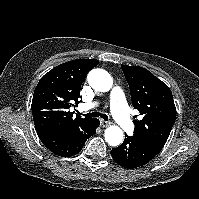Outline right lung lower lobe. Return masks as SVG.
I'll use <instances>...</instances> for the list:
<instances>
[{
	"mask_svg": "<svg viewBox=\"0 0 199 199\" xmlns=\"http://www.w3.org/2000/svg\"><path fill=\"white\" fill-rule=\"evenodd\" d=\"M99 124L98 119L92 118V120L81 129L72 132H48L44 135H39V138L46 148L54 154L69 157L81 151L86 140L96 133V128Z\"/></svg>",
	"mask_w": 199,
	"mask_h": 199,
	"instance_id": "98d812e1",
	"label": "right lung lower lobe"
}]
</instances>
